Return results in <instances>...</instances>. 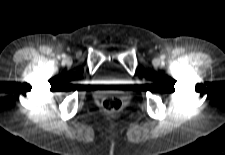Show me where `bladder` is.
I'll return each instance as SVG.
<instances>
[{
  "instance_id": "bladder-1",
  "label": "bladder",
  "mask_w": 225,
  "mask_h": 155,
  "mask_svg": "<svg viewBox=\"0 0 225 155\" xmlns=\"http://www.w3.org/2000/svg\"><path fill=\"white\" fill-rule=\"evenodd\" d=\"M97 78L102 81H120L122 77L118 74L117 70L113 67H102L97 75Z\"/></svg>"
}]
</instances>
